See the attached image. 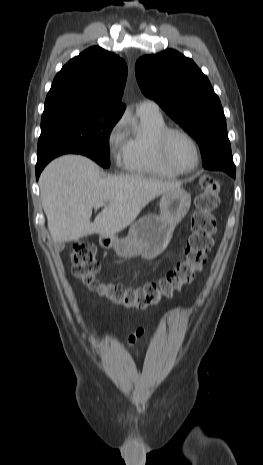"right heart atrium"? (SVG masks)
Here are the masks:
<instances>
[{"instance_id":"obj_1","label":"right heart atrium","mask_w":263,"mask_h":465,"mask_svg":"<svg viewBox=\"0 0 263 465\" xmlns=\"http://www.w3.org/2000/svg\"><path fill=\"white\" fill-rule=\"evenodd\" d=\"M124 127V118H119L109 128L106 136L107 150L118 165L123 163L124 158Z\"/></svg>"}]
</instances>
